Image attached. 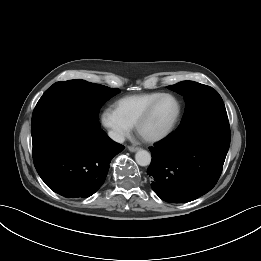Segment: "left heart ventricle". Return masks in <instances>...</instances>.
<instances>
[{
  "mask_svg": "<svg viewBox=\"0 0 261 261\" xmlns=\"http://www.w3.org/2000/svg\"><path fill=\"white\" fill-rule=\"evenodd\" d=\"M176 113V103L171 98H163L155 107L149 120L143 125L141 133L151 136L167 127Z\"/></svg>",
  "mask_w": 261,
  "mask_h": 261,
  "instance_id": "b2bd125f",
  "label": "left heart ventricle"
}]
</instances>
